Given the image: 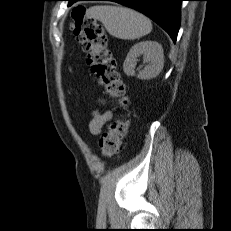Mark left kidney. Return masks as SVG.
<instances>
[{
	"label": "left kidney",
	"instance_id": "5707ae66",
	"mask_svg": "<svg viewBox=\"0 0 231 231\" xmlns=\"http://www.w3.org/2000/svg\"><path fill=\"white\" fill-rule=\"evenodd\" d=\"M143 55L144 61L148 63L139 72L137 77L142 80L156 77L164 65V54L162 46L155 41H142L135 44L127 54L123 63V71L127 76H135L134 64L136 58Z\"/></svg>",
	"mask_w": 231,
	"mask_h": 231
}]
</instances>
